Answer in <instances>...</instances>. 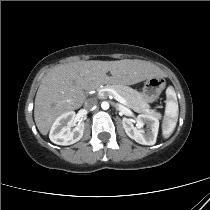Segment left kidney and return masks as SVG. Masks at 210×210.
I'll return each instance as SVG.
<instances>
[{
  "instance_id": "obj_1",
  "label": "left kidney",
  "mask_w": 210,
  "mask_h": 210,
  "mask_svg": "<svg viewBox=\"0 0 210 210\" xmlns=\"http://www.w3.org/2000/svg\"><path fill=\"white\" fill-rule=\"evenodd\" d=\"M136 121L138 126L137 128L134 127L131 120L128 118H123L122 124L126 134L139 144L154 145L156 143L159 129L158 118L153 115L140 114L137 116ZM145 124L148 127L147 132H145L143 129H140Z\"/></svg>"
}]
</instances>
